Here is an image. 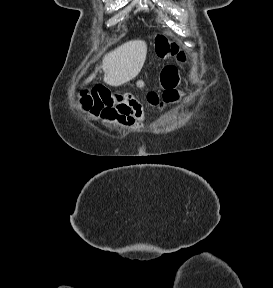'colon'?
Listing matches in <instances>:
<instances>
[{
    "label": "colon",
    "mask_w": 273,
    "mask_h": 288,
    "mask_svg": "<svg viewBox=\"0 0 273 288\" xmlns=\"http://www.w3.org/2000/svg\"><path fill=\"white\" fill-rule=\"evenodd\" d=\"M157 54L162 58L176 57L185 62L187 57L180 51L175 43L159 36L156 43ZM161 84L164 91L161 95L150 93L148 103L152 107L164 108L176 104L183 97V92L178 89L179 74L174 66H166L161 72ZM83 108L96 117L114 121L121 125H130L137 119L139 106L130 102L122 95L111 92L103 85L95 86L90 92L84 94L80 100Z\"/></svg>",
    "instance_id": "obj_1"
}]
</instances>
